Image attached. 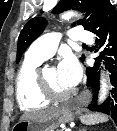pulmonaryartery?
<instances>
[{
	"mask_svg": "<svg viewBox=\"0 0 117 131\" xmlns=\"http://www.w3.org/2000/svg\"><path fill=\"white\" fill-rule=\"evenodd\" d=\"M71 38L81 43H91L93 41L92 34L80 27L71 30ZM60 39L61 35L56 32L41 36L30 46L26 57L40 60L50 58L55 53Z\"/></svg>",
	"mask_w": 117,
	"mask_h": 131,
	"instance_id": "pulmonary-artery-1",
	"label": "pulmonary artery"
}]
</instances>
